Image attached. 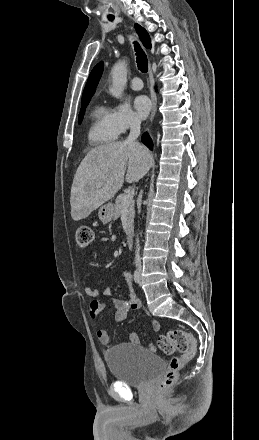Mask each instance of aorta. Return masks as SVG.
<instances>
[{
  "mask_svg": "<svg viewBox=\"0 0 259 440\" xmlns=\"http://www.w3.org/2000/svg\"><path fill=\"white\" fill-rule=\"evenodd\" d=\"M112 85L109 88L110 93L120 98L127 82V64L125 61H118L111 70Z\"/></svg>",
  "mask_w": 259,
  "mask_h": 440,
  "instance_id": "obj_1",
  "label": "aorta"
}]
</instances>
